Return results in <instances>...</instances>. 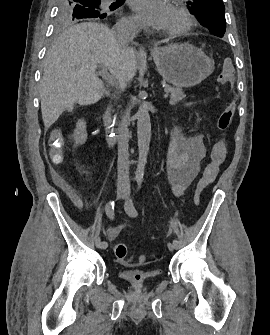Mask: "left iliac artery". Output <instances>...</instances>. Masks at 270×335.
Instances as JSON below:
<instances>
[{
    "label": "left iliac artery",
    "mask_w": 270,
    "mask_h": 335,
    "mask_svg": "<svg viewBox=\"0 0 270 335\" xmlns=\"http://www.w3.org/2000/svg\"><path fill=\"white\" fill-rule=\"evenodd\" d=\"M141 184L142 182L141 181H138V188H137V191L140 190L141 188ZM125 210L128 212V214L130 216H137L138 215V212L137 210L135 209L134 207V204H133V201L132 200H129L125 203ZM173 245L178 248L180 247V242L177 240V239H174L173 240Z\"/></svg>",
    "instance_id": "44dca946"
}]
</instances>
